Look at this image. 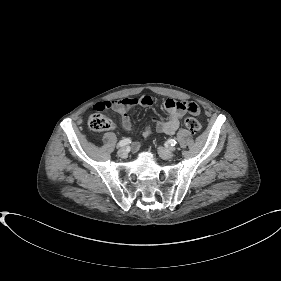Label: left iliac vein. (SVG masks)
Instances as JSON below:
<instances>
[{
	"label": "left iliac vein",
	"mask_w": 281,
	"mask_h": 281,
	"mask_svg": "<svg viewBox=\"0 0 281 281\" xmlns=\"http://www.w3.org/2000/svg\"><path fill=\"white\" fill-rule=\"evenodd\" d=\"M174 148L170 147V148H165L162 146L158 147V154L160 155L161 158L165 159V160H169L172 159L174 156Z\"/></svg>",
	"instance_id": "4c4485c4"
}]
</instances>
